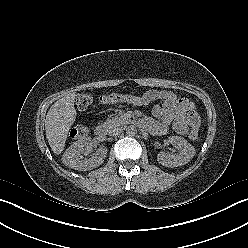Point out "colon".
<instances>
[{"mask_svg":"<svg viewBox=\"0 0 248 248\" xmlns=\"http://www.w3.org/2000/svg\"><path fill=\"white\" fill-rule=\"evenodd\" d=\"M129 95L109 94L100 97V102L103 104L126 102ZM93 101V96L90 93H83L77 96L76 105L79 110L87 109ZM71 137L82 138L88 134V128L84 125H76L71 130ZM198 137V127H193L189 131V138L196 140Z\"/></svg>","mask_w":248,"mask_h":248,"instance_id":"1","label":"colon"}]
</instances>
